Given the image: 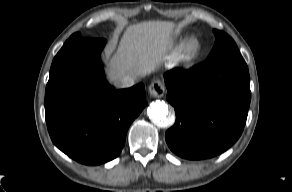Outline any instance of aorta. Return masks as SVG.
I'll list each match as a JSON object with an SVG mask.
<instances>
[{
  "mask_svg": "<svg viewBox=\"0 0 292 192\" xmlns=\"http://www.w3.org/2000/svg\"><path fill=\"white\" fill-rule=\"evenodd\" d=\"M147 113L149 118L158 126V127H169L173 124L174 119L168 116L169 109L168 105L160 100H156L148 106Z\"/></svg>",
  "mask_w": 292,
  "mask_h": 192,
  "instance_id": "aorta-1",
  "label": "aorta"
}]
</instances>
